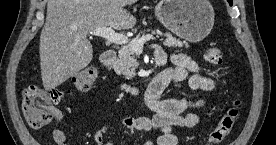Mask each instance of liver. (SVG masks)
<instances>
[{"instance_id":"6515ba94","label":"liver","mask_w":276,"mask_h":145,"mask_svg":"<svg viewBox=\"0 0 276 145\" xmlns=\"http://www.w3.org/2000/svg\"><path fill=\"white\" fill-rule=\"evenodd\" d=\"M136 0H48L40 36L41 77L54 89L89 65L93 48L87 39L96 28L130 29L136 18L124 9Z\"/></svg>"}]
</instances>
